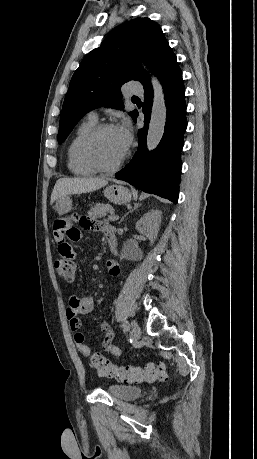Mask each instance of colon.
I'll return each instance as SVG.
<instances>
[{
    "instance_id": "5ec220e1",
    "label": "colon",
    "mask_w": 257,
    "mask_h": 459,
    "mask_svg": "<svg viewBox=\"0 0 257 459\" xmlns=\"http://www.w3.org/2000/svg\"><path fill=\"white\" fill-rule=\"evenodd\" d=\"M55 271L67 281H74L77 276L75 261H64L63 258L55 261ZM91 364L100 375L122 381L152 383L166 379L163 362L148 363L144 367H122L114 365L101 353H93Z\"/></svg>"
}]
</instances>
